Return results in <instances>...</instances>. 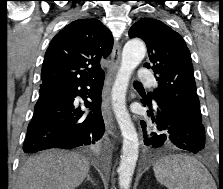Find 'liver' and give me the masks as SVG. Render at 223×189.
Wrapping results in <instances>:
<instances>
[{"mask_svg": "<svg viewBox=\"0 0 223 189\" xmlns=\"http://www.w3.org/2000/svg\"><path fill=\"white\" fill-rule=\"evenodd\" d=\"M89 169V161L78 153L45 151L24 163L17 189H74L83 182Z\"/></svg>", "mask_w": 223, "mask_h": 189, "instance_id": "obj_1", "label": "liver"}]
</instances>
